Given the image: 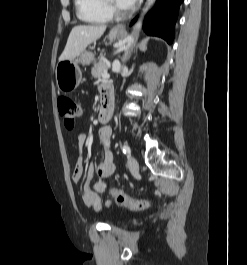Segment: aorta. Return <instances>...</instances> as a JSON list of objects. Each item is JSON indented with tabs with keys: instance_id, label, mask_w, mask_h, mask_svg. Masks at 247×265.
Listing matches in <instances>:
<instances>
[{
	"instance_id": "762f6f07",
	"label": "aorta",
	"mask_w": 247,
	"mask_h": 265,
	"mask_svg": "<svg viewBox=\"0 0 247 265\" xmlns=\"http://www.w3.org/2000/svg\"><path fill=\"white\" fill-rule=\"evenodd\" d=\"M154 2H155V0H147V5L145 8V11L148 10L153 5ZM140 27H141V21H139L136 24V26L134 28V32L132 33V35H130L128 37V43H127L126 48H125V55H124L123 61H125L127 59L128 51L133 46V43H134V39H135L134 35L140 29Z\"/></svg>"
}]
</instances>
